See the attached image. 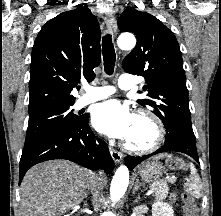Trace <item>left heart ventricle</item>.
<instances>
[{"label": "left heart ventricle", "instance_id": "left-heart-ventricle-1", "mask_svg": "<svg viewBox=\"0 0 221 216\" xmlns=\"http://www.w3.org/2000/svg\"><path fill=\"white\" fill-rule=\"evenodd\" d=\"M154 138V128L149 121L143 118H135L132 128L126 140L137 146L148 145Z\"/></svg>", "mask_w": 221, "mask_h": 216}]
</instances>
